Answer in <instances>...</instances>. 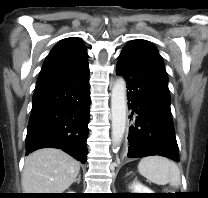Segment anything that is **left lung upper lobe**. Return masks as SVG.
Instances as JSON below:
<instances>
[{"label": "left lung upper lobe", "instance_id": "left-lung-upper-lobe-1", "mask_svg": "<svg viewBox=\"0 0 208 198\" xmlns=\"http://www.w3.org/2000/svg\"><path fill=\"white\" fill-rule=\"evenodd\" d=\"M146 44L152 50V52L155 54V56H156V58L158 60V63H159V65H160V67H161V69H162V71H163V73L165 75V78L167 79V74H166V71H165V67H164V64L162 62L161 56L159 55L157 49L154 46H152L151 44L147 43V41H146Z\"/></svg>", "mask_w": 208, "mask_h": 198}]
</instances>
